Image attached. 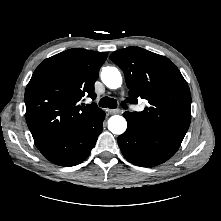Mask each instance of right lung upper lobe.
<instances>
[{"label": "right lung upper lobe", "mask_w": 221, "mask_h": 221, "mask_svg": "<svg viewBox=\"0 0 221 221\" xmlns=\"http://www.w3.org/2000/svg\"><path fill=\"white\" fill-rule=\"evenodd\" d=\"M107 58L104 52L74 48L45 59L25 90L26 121L38 149L72 136L89 118L102 112L94 83Z\"/></svg>", "instance_id": "1"}]
</instances>
